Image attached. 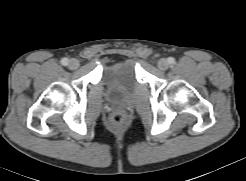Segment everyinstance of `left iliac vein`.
Listing matches in <instances>:
<instances>
[{
  "label": "left iliac vein",
  "mask_w": 246,
  "mask_h": 181,
  "mask_svg": "<svg viewBox=\"0 0 246 181\" xmlns=\"http://www.w3.org/2000/svg\"><path fill=\"white\" fill-rule=\"evenodd\" d=\"M157 66L160 70H166L169 67V62L166 59L162 58L158 61Z\"/></svg>",
  "instance_id": "left-iliac-vein-1"
}]
</instances>
